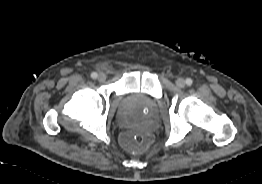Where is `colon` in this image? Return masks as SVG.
<instances>
[{"label": "colon", "mask_w": 262, "mask_h": 184, "mask_svg": "<svg viewBox=\"0 0 262 184\" xmlns=\"http://www.w3.org/2000/svg\"><path fill=\"white\" fill-rule=\"evenodd\" d=\"M150 142V136L143 132L126 133L122 137V145L134 152L145 149Z\"/></svg>", "instance_id": "colon-1"}]
</instances>
